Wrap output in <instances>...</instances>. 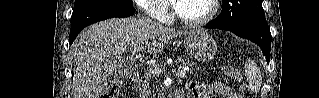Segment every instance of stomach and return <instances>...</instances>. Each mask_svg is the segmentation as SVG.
Instances as JSON below:
<instances>
[{
    "instance_id": "obj_1",
    "label": "stomach",
    "mask_w": 319,
    "mask_h": 98,
    "mask_svg": "<svg viewBox=\"0 0 319 98\" xmlns=\"http://www.w3.org/2000/svg\"><path fill=\"white\" fill-rule=\"evenodd\" d=\"M185 51L195 60L208 61L217 53L215 40L204 31H192L184 42Z\"/></svg>"
}]
</instances>
